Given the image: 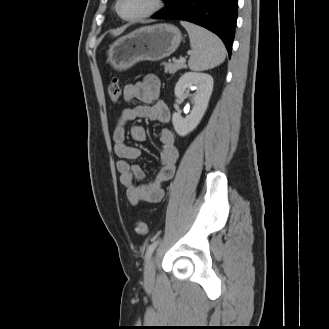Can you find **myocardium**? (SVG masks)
I'll return each mask as SVG.
<instances>
[{
  "instance_id": "myocardium-1",
  "label": "myocardium",
  "mask_w": 329,
  "mask_h": 329,
  "mask_svg": "<svg viewBox=\"0 0 329 329\" xmlns=\"http://www.w3.org/2000/svg\"><path fill=\"white\" fill-rule=\"evenodd\" d=\"M120 2H121V0H116L115 11L121 19L126 20V21H137L140 19L150 17V16L154 15L155 13H157L163 6V0H152L151 7L148 10H146L145 12L135 15V16L126 17V16H123L119 11Z\"/></svg>"
}]
</instances>
